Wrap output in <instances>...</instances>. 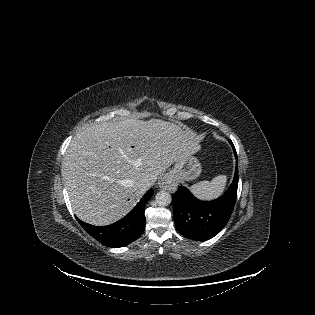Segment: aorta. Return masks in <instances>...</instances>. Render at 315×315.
<instances>
[{"mask_svg":"<svg viewBox=\"0 0 315 315\" xmlns=\"http://www.w3.org/2000/svg\"><path fill=\"white\" fill-rule=\"evenodd\" d=\"M171 195L167 191H160L155 196V201L158 206L164 207L171 203Z\"/></svg>","mask_w":315,"mask_h":315,"instance_id":"obj_1","label":"aorta"}]
</instances>
